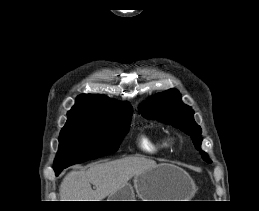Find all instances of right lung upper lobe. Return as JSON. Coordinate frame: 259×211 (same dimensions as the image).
Returning <instances> with one entry per match:
<instances>
[{
    "label": "right lung upper lobe",
    "mask_w": 259,
    "mask_h": 211,
    "mask_svg": "<svg viewBox=\"0 0 259 211\" xmlns=\"http://www.w3.org/2000/svg\"><path fill=\"white\" fill-rule=\"evenodd\" d=\"M73 114L93 116L132 114V106L128 102H116L102 95L82 94L76 98V104L67 113V115Z\"/></svg>",
    "instance_id": "cb5924a9"
}]
</instances>
